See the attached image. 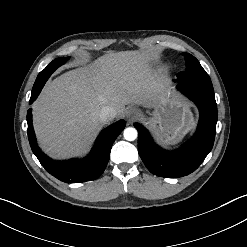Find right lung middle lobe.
Instances as JSON below:
<instances>
[{"label":"right lung middle lobe","mask_w":247,"mask_h":247,"mask_svg":"<svg viewBox=\"0 0 247 247\" xmlns=\"http://www.w3.org/2000/svg\"><path fill=\"white\" fill-rule=\"evenodd\" d=\"M70 57L57 58L53 60L43 71L39 73L34 83L33 89L44 86L50 75L61 65L65 64Z\"/></svg>","instance_id":"obj_1"}]
</instances>
